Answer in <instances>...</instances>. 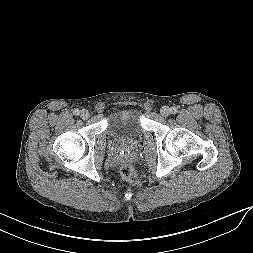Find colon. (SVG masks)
<instances>
[{"label": "colon", "instance_id": "obj_1", "mask_svg": "<svg viewBox=\"0 0 253 253\" xmlns=\"http://www.w3.org/2000/svg\"><path fill=\"white\" fill-rule=\"evenodd\" d=\"M122 179L130 184H134L137 180V174L133 166L125 164L120 169Z\"/></svg>", "mask_w": 253, "mask_h": 253}]
</instances>
